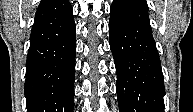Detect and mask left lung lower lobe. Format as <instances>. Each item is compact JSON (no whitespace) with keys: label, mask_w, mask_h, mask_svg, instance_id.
<instances>
[{"label":"left lung lower lobe","mask_w":193,"mask_h":112,"mask_svg":"<svg viewBox=\"0 0 193 112\" xmlns=\"http://www.w3.org/2000/svg\"><path fill=\"white\" fill-rule=\"evenodd\" d=\"M109 35L120 112H164L163 73L146 0H113Z\"/></svg>","instance_id":"left-lung-lower-lobe-1"}]
</instances>
